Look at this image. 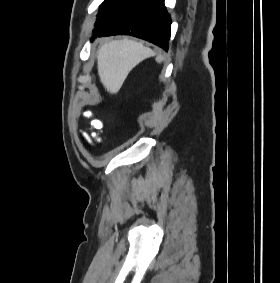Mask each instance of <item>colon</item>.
I'll use <instances>...</instances> for the list:
<instances>
[{
    "label": "colon",
    "instance_id": "1",
    "mask_svg": "<svg viewBox=\"0 0 280 283\" xmlns=\"http://www.w3.org/2000/svg\"><path fill=\"white\" fill-rule=\"evenodd\" d=\"M85 115L86 116H91V114L89 113V112H86L85 113ZM91 126H92V128H93V132H92V136H93V138H95L96 140H99V135H100V131H101V129H102V127H103V124H102V122L100 121V120H92L91 121Z\"/></svg>",
    "mask_w": 280,
    "mask_h": 283
}]
</instances>
